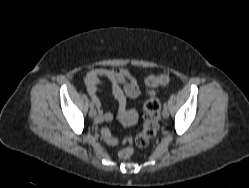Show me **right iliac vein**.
Returning a JSON list of instances; mask_svg holds the SVG:
<instances>
[{"mask_svg": "<svg viewBox=\"0 0 249 188\" xmlns=\"http://www.w3.org/2000/svg\"><path fill=\"white\" fill-rule=\"evenodd\" d=\"M96 109L93 107V108H91L90 109V111H89V116L91 117V118H94L95 116H96Z\"/></svg>", "mask_w": 249, "mask_h": 188, "instance_id": "1", "label": "right iliac vein"}]
</instances>
